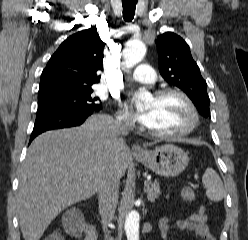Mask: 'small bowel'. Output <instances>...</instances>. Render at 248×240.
Masks as SVG:
<instances>
[{
    "instance_id": "obj_1",
    "label": "small bowel",
    "mask_w": 248,
    "mask_h": 240,
    "mask_svg": "<svg viewBox=\"0 0 248 240\" xmlns=\"http://www.w3.org/2000/svg\"><path fill=\"white\" fill-rule=\"evenodd\" d=\"M169 216H164L159 220V230L162 236L170 240L171 230L169 226ZM175 227L180 232H189L195 234L203 240H216L210 226L208 225V216L201 206L197 211L189 212L183 220H178Z\"/></svg>"
}]
</instances>
